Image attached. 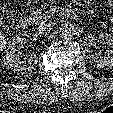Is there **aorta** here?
Wrapping results in <instances>:
<instances>
[{
    "mask_svg": "<svg viewBox=\"0 0 113 113\" xmlns=\"http://www.w3.org/2000/svg\"><path fill=\"white\" fill-rule=\"evenodd\" d=\"M76 33V26L71 22H64L61 24L59 34L64 39L73 37Z\"/></svg>",
    "mask_w": 113,
    "mask_h": 113,
    "instance_id": "obj_1",
    "label": "aorta"
}]
</instances>
